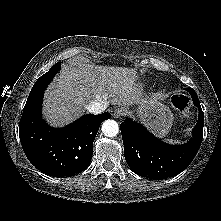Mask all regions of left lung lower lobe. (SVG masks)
Segmentation results:
<instances>
[{
  "instance_id": "left-lung-lower-lobe-1",
  "label": "left lung lower lobe",
  "mask_w": 221,
  "mask_h": 221,
  "mask_svg": "<svg viewBox=\"0 0 221 221\" xmlns=\"http://www.w3.org/2000/svg\"><path fill=\"white\" fill-rule=\"evenodd\" d=\"M186 90L199 109L193 138L188 143L169 145L155 138L139 123L130 119L121 123L125 159L134 173L151 179H164L177 175L194 159L203 138L204 113L196 92L192 88Z\"/></svg>"
}]
</instances>
